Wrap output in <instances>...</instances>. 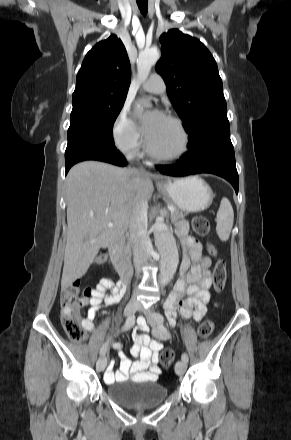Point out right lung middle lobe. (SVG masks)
Segmentation results:
<instances>
[{"mask_svg":"<svg viewBox=\"0 0 291 440\" xmlns=\"http://www.w3.org/2000/svg\"><path fill=\"white\" fill-rule=\"evenodd\" d=\"M125 99L82 100L73 104L68 141L93 139L114 144L113 124Z\"/></svg>","mask_w":291,"mask_h":440,"instance_id":"right-lung-middle-lobe-1","label":"right lung middle lobe"}]
</instances>
